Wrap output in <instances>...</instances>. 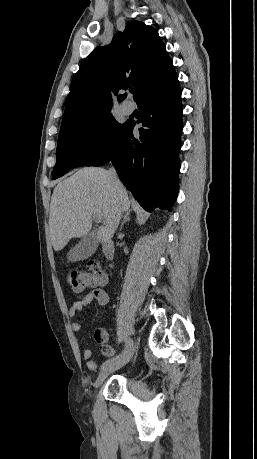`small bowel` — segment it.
<instances>
[{
    "instance_id": "c3829d8e",
    "label": "small bowel",
    "mask_w": 257,
    "mask_h": 459,
    "mask_svg": "<svg viewBox=\"0 0 257 459\" xmlns=\"http://www.w3.org/2000/svg\"><path fill=\"white\" fill-rule=\"evenodd\" d=\"M109 300L110 299L108 293L103 288L96 287L86 292L83 297L75 300L71 305L68 314L71 318H74L79 312L85 311L89 304L93 301H96L101 306H105L109 303ZM71 328L74 332H79L81 330V324L77 321H74L71 324ZM94 338L98 343L101 352L105 356H112L114 354V349L109 344V335L104 328H97L94 333ZM82 355L86 362L87 368L90 371H96L97 365L93 358L91 349H84Z\"/></svg>"
}]
</instances>
